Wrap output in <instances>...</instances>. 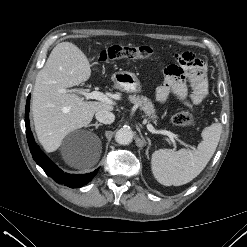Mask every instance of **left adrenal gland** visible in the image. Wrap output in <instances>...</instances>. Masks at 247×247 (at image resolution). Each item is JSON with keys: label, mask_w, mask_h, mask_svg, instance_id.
Instances as JSON below:
<instances>
[{"label": "left adrenal gland", "mask_w": 247, "mask_h": 247, "mask_svg": "<svg viewBox=\"0 0 247 247\" xmlns=\"http://www.w3.org/2000/svg\"><path fill=\"white\" fill-rule=\"evenodd\" d=\"M146 139L148 141V147L146 149V156H147V158H149V154L148 153H149V149L151 147V140L148 137Z\"/></svg>", "instance_id": "left-adrenal-gland-1"}]
</instances>
